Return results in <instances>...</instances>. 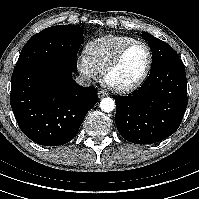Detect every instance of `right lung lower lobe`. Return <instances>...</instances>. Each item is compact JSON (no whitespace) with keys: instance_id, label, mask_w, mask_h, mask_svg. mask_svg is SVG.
<instances>
[{"instance_id":"right-lung-lower-lobe-1","label":"right lung lower lobe","mask_w":199,"mask_h":199,"mask_svg":"<svg viewBox=\"0 0 199 199\" xmlns=\"http://www.w3.org/2000/svg\"><path fill=\"white\" fill-rule=\"evenodd\" d=\"M72 72L58 64H41L12 74L11 108L32 141L45 146L69 142L98 102L95 87L76 84Z\"/></svg>"}]
</instances>
